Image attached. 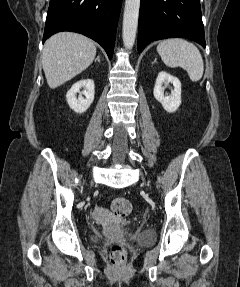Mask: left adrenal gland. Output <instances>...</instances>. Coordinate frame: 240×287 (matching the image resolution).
Instances as JSON below:
<instances>
[{
	"label": "left adrenal gland",
	"instance_id": "a2214340",
	"mask_svg": "<svg viewBox=\"0 0 240 287\" xmlns=\"http://www.w3.org/2000/svg\"><path fill=\"white\" fill-rule=\"evenodd\" d=\"M155 62H156V59H154L153 63H155Z\"/></svg>",
	"mask_w": 240,
	"mask_h": 287
}]
</instances>
